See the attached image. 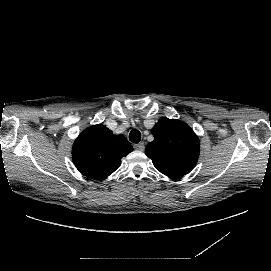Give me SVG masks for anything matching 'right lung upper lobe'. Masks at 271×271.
<instances>
[{
	"instance_id": "cb5924a9",
	"label": "right lung upper lobe",
	"mask_w": 271,
	"mask_h": 271,
	"mask_svg": "<svg viewBox=\"0 0 271 271\" xmlns=\"http://www.w3.org/2000/svg\"><path fill=\"white\" fill-rule=\"evenodd\" d=\"M133 151L123 135H114L103 125L84 130L75 140L72 158L77 169L92 179L111 175L121 164V158Z\"/></svg>"
}]
</instances>
